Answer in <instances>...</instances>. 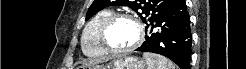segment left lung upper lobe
Masks as SVG:
<instances>
[{
	"instance_id": "5c2ea615",
	"label": "left lung upper lobe",
	"mask_w": 246,
	"mask_h": 69,
	"mask_svg": "<svg viewBox=\"0 0 246 69\" xmlns=\"http://www.w3.org/2000/svg\"><path fill=\"white\" fill-rule=\"evenodd\" d=\"M174 1L175 0H94L88 9L86 20L105 7L111 5L128 6L141 17L142 21L147 24L146 28H148ZM142 14H144V16Z\"/></svg>"
}]
</instances>
